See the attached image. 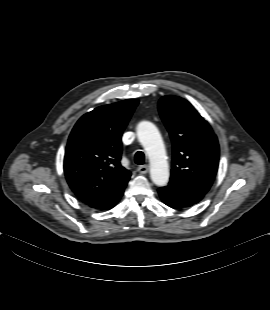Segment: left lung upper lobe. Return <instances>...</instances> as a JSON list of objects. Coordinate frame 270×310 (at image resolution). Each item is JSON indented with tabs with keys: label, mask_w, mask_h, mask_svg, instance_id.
<instances>
[{
	"label": "left lung upper lobe",
	"mask_w": 270,
	"mask_h": 310,
	"mask_svg": "<svg viewBox=\"0 0 270 310\" xmlns=\"http://www.w3.org/2000/svg\"><path fill=\"white\" fill-rule=\"evenodd\" d=\"M158 107L173 143L170 180L210 189L218 169L219 145L208 122L177 96L162 97Z\"/></svg>",
	"instance_id": "left-lung-upper-lobe-1"
}]
</instances>
